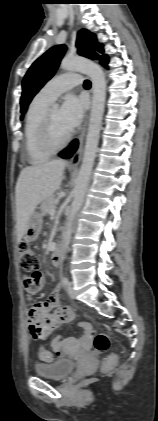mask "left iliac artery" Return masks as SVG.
Returning a JSON list of instances; mask_svg holds the SVG:
<instances>
[{"label":"left iliac artery","instance_id":"left-iliac-artery-1","mask_svg":"<svg viewBox=\"0 0 158 421\" xmlns=\"http://www.w3.org/2000/svg\"><path fill=\"white\" fill-rule=\"evenodd\" d=\"M62 283H63V285H68V284H69V280H68V278L64 277V278L62 279Z\"/></svg>","mask_w":158,"mask_h":421}]
</instances>
